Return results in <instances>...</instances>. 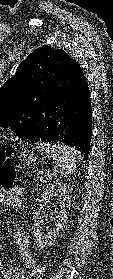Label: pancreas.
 <instances>
[{"instance_id":"pancreas-1","label":"pancreas","mask_w":113,"mask_h":279,"mask_svg":"<svg viewBox=\"0 0 113 279\" xmlns=\"http://www.w3.org/2000/svg\"><path fill=\"white\" fill-rule=\"evenodd\" d=\"M35 181H36V184H39V182H43L44 181V178L43 177H35Z\"/></svg>"}]
</instances>
